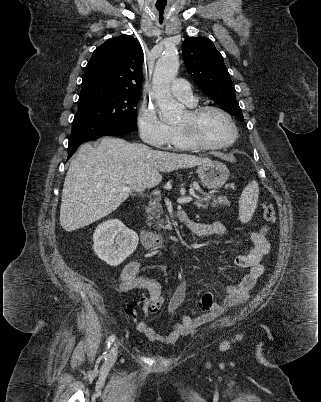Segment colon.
Segmentation results:
<instances>
[{
  "label": "colon",
  "instance_id": "1",
  "mask_svg": "<svg viewBox=\"0 0 321 402\" xmlns=\"http://www.w3.org/2000/svg\"><path fill=\"white\" fill-rule=\"evenodd\" d=\"M263 218L265 219V221H267V222H272L273 220H274V218H275V211H274V207H273V205L272 204H266L265 206H264V209H263ZM210 306H211V302L210 301H207V302H205L203 305H202V309L203 310H208L209 308H210ZM128 314L129 315H133L134 314V312H133V310L132 309H128Z\"/></svg>",
  "mask_w": 321,
  "mask_h": 402
}]
</instances>
